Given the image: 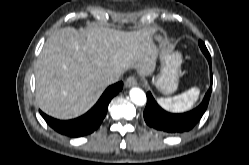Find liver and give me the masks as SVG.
I'll return each instance as SVG.
<instances>
[{"mask_svg":"<svg viewBox=\"0 0 249 165\" xmlns=\"http://www.w3.org/2000/svg\"><path fill=\"white\" fill-rule=\"evenodd\" d=\"M153 29L132 32L92 25L65 27L45 42L35 69L36 100L49 116L67 120L87 112L106 88L108 74L155 70L159 53Z\"/></svg>","mask_w":249,"mask_h":165,"instance_id":"6515ba94","label":"liver"}]
</instances>
